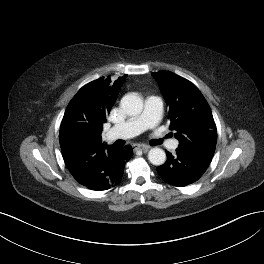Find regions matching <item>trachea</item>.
I'll return each mask as SVG.
<instances>
[{
    "mask_svg": "<svg viewBox=\"0 0 264 264\" xmlns=\"http://www.w3.org/2000/svg\"><path fill=\"white\" fill-rule=\"evenodd\" d=\"M162 144V139L154 140V145Z\"/></svg>",
    "mask_w": 264,
    "mask_h": 264,
    "instance_id": "obj_1",
    "label": "trachea"
}]
</instances>
